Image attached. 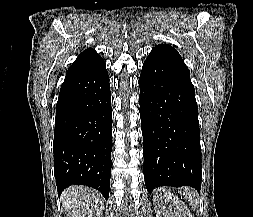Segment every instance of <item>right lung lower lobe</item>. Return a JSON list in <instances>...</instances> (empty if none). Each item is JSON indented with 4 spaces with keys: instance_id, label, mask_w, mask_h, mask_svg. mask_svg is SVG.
Segmentation results:
<instances>
[{
    "instance_id": "98d812e1",
    "label": "right lung lower lobe",
    "mask_w": 253,
    "mask_h": 217,
    "mask_svg": "<svg viewBox=\"0 0 253 217\" xmlns=\"http://www.w3.org/2000/svg\"><path fill=\"white\" fill-rule=\"evenodd\" d=\"M112 109L103 60L66 75L56 105L54 175L59 194L83 184L107 200L111 175Z\"/></svg>"
}]
</instances>
